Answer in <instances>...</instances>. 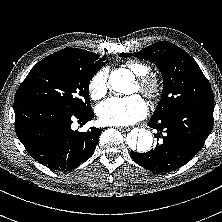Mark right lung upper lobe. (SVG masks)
Returning a JSON list of instances; mask_svg holds the SVG:
<instances>
[{
	"label": "right lung upper lobe",
	"instance_id": "obj_1",
	"mask_svg": "<svg viewBox=\"0 0 222 222\" xmlns=\"http://www.w3.org/2000/svg\"><path fill=\"white\" fill-rule=\"evenodd\" d=\"M101 60L95 53L88 52L86 50L77 48H65L54 54H51L41 60L45 61H63V62H85V61H96Z\"/></svg>",
	"mask_w": 222,
	"mask_h": 222
}]
</instances>
